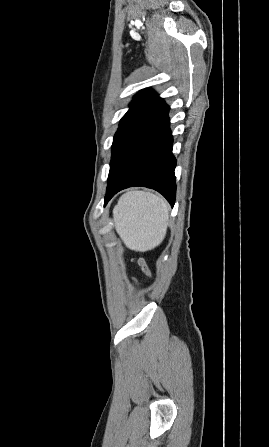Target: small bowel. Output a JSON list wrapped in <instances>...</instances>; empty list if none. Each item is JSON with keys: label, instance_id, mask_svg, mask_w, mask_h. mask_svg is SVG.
Masks as SVG:
<instances>
[{"label": "small bowel", "instance_id": "obj_1", "mask_svg": "<svg viewBox=\"0 0 269 447\" xmlns=\"http://www.w3.org/2000/svg\"><path fill=\"white\" fill-rule=\"evenodd\" d=\"M133 283L136 285V286H139L140 284L136 281V280H134L133 279Z\"/></svg>", "mask_w": 269, "mask_h": 447}]
</instances>
